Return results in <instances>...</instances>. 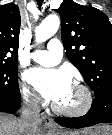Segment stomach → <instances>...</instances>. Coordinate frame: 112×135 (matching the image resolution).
Returning a JSON list of instances; mask_svg holds the SVG:
<instances>
[{
  "label": "stomach",
  "instance_id": "0dacf381",
  "mask_svg": "<svg viewBox=\"0 0 112 135\" xmlns=\"http://www.w3.org/2000/svg\"><path fill=\"white\" fill-rule=\"evenodd\" d=\"M59 135H112V126L101 125L93 127L82 132L78 131H65Z\"/></svg>",
  "mask_w": 112,
  "mask_h": 135
}]
</instances>
